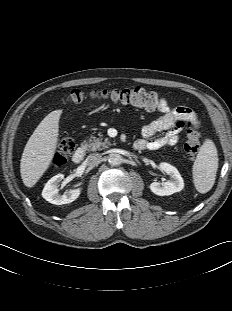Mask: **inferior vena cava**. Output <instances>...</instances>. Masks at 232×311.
<instances>
[{
	"mask_svg": "<svg viewBox=\"0 0 232 311\" xmlns=\"http://www.w3.org/2000/svg\"><path fill=\"white\" fill-rule=\"evenodd\" d=\"M100 160H101V155L98 154V153L90 154V155L86 158V162H87V164L90 165V166L99 164Z\"/></svg>",
	"mask_w": 232,
	"mask_h": 311,
	"instance_id": "602c4592",
	"label": "inferior vena cava"
}]
</instances>
